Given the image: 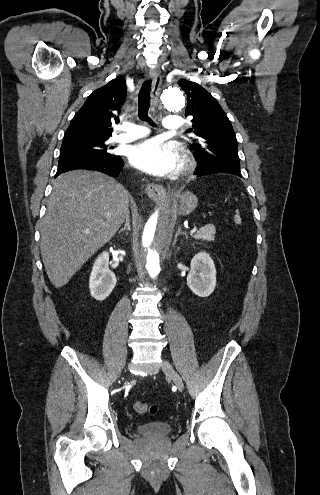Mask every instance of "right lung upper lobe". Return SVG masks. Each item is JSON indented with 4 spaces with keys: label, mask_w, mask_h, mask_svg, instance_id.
<instances>
[{
    "label": "right lung upper lobe",
    "mask_w": 320,
    "mask_h": 495,
    "mask_svg": "<svg viewBox=\"0 0 320 495\" xmlns=\"http://www.w3.org/2000/svg\"><path fill=\"white\" fill-rule=\"evenodd\" d=\"M126 80L116 77L93 91L73 117L63 140L109 138L126 96Z\"/></svg>",
    "instance_id": "cb5924a9"
}]
</instances>
